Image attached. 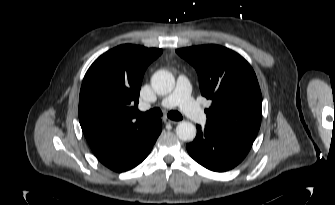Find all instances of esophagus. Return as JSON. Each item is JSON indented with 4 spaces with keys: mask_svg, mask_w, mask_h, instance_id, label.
I'll list each match as a JSON object with an SVG mask.
<instances>
[{
    "mask_svg": "<svg viewBox=\"0 0 335 205\" xmlns=\"http://www.w3.org/2000/svg\"><path fill=\"white\" fill-rule=\"evenodd\" d=\"M164 122L165 123H167V124H177L178 123V121H175V120H171V119H169V118H167V117H165L164 119Z\"/></svg>",
    "mask_w": 335,
    "mask_h": 205,
    "instance_id": "1",
    "label": "esophagus"
}]
</instances>
